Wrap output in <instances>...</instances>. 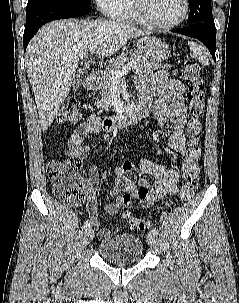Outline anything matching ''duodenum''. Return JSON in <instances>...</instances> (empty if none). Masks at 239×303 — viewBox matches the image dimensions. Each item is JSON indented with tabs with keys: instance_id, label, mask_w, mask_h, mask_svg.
<instances>
[{
	"instance_id": "obj_1",
	"label": "duodenum",
	"mask_w": 239,
	"mask_h": 303,
	"mask_svg": "<svg viewBox=\"0 0 239 303\" xmlns=\"http://www.w3.org/2000/svg\"><path fill=\"white\" fill-rule=\"evenodd\" d=\"M98 74L95 71H90L85 78L84 85L87 89H94L97 85ZM149 113V108L145 105L136 109H131L125 112H120L116 116L105 118L101 127L104 130H117L124 126L134 125L144 119Z\"/></svg>"
}]
</instances>
